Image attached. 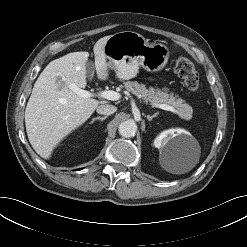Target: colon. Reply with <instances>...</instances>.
I'll use <instances>...</instances> for the list:
<instances>
[{"mask_svg":"<svg viewBox=\"0 0 247 247\" xmlns=\"http://www.w3.org/2000/svg\"><path fill=\"white\" fill-rule=\"evenodd\" d=\"M174 69L187 89L196 91L199 88V74L189 59L185 57L177 58Z\"/></svg>","mask_w":247,"mask_h":247,"instance_id":"5ec220e1","label":"colon"}]
</instances>
